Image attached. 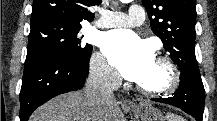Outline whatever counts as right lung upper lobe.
<instances>
[{"label":"right lung upper lobe","instance_id":"1","mask_svg":"<svg viewBox=\"0 0 217 121\" xmlns=\"http://www.w3.org/2000/svg\"><path fill=\"white\" fill-rule=\"evenodd\" d=\"M102 0H33L31 23L42 20H57L64 23L80 24L84 20L92 21L94 14L88 7Z\"/></svg>","mask_w":217,"mask_h":121}]
</instances>
